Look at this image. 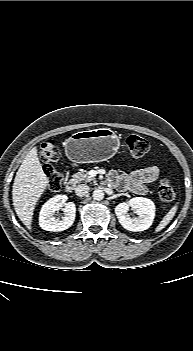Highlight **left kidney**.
Returning <instances> with one entry per match:
<instances>
[{
  "mask_svg": "<svg viewBox=\"0 0 193 351\" xmlns=\"http://www.w3.org/2000/svg\"><path fill=\"white\" fill-rule=\"evenodd\" d=\"M133 209L138 215L131 218L129 209ZM115 214L119 223L127 230L139 232L147 230L153 223L155 217V205L153 201L144 197H135L128 202L119 203L115 207Z\"/></svg>",
  "mask_w": 193,
  "mask_h": 351,
  "instance_id": "obj_1",
  "label": "left kidney"
}]
</instances>
